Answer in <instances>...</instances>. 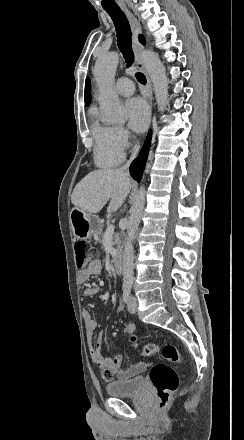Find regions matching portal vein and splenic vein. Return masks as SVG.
I'll use <instances>...</instances> for the list:
<instances>
[{
    "label": "portal vein and splenic vein",
    "instance_id": "1",
    "mask_svg": "<svg viewBox=\"0 0 244 440\" xmlns=\"http://www.w3.org/2000/svg\"><path fill=\"white\" fill-rule=\"evenodd\" d=\"M114 230H115V226H113V224H108L107 232H114Z\"/></svg>",
    "mask_w": 244,
    "mask_h": 440
}]
</instances>
